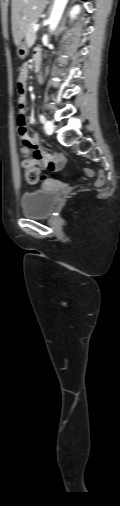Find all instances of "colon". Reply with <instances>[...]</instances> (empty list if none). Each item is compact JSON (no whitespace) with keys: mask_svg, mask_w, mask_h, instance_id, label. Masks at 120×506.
<instances>
[{"mask_svg":"<svg viewBox=\"0 0 120 506\" xmlns=\"http://www.w3.org/2000/svg\"><path fill=\"white\" fill-rule=\"evenodd\" d=\"M17 90L19 93L18 97V126L19 132L21 134L26 133V117H25V90L24 85L21 81L17 83ZM23 145L21 147V153L25 157L23 160L22 166L25 171V176L28 182L36 183L38 180L46 179L45 176L41 175L39 169L37 168L38 159L41 157V153L35 148V146L31 143L28 137H23ZM93 176V171L91 169L85 168L82 171L83 179H88ZM106 181V176L103 171H99L96 186L100 187L104 185Z\"/></svg>","mask_w":120,"mask_h":506,"instance_id":"obj_1","label":"colon"}]
</instances>
